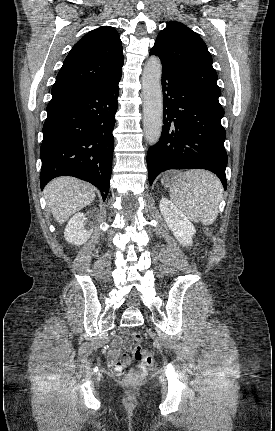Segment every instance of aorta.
Instances as JSON below:
<instances>
[{"mask_svg": "<svg viewBox=\"0 0 275 431\" xmlns=\"http://www.w3.org/2000/svg\"><path fill=\"white\" fill-rule=\"evenodd\" d=\"M161 74L160 59L157 56H151L145 64L142 75L144 133L151 145L158 142L163 125Z\"/></svg>", "mask_w": 275, "mask_h": 431, "instance_id": "aorta-1", "label": "aorta"}]
</instances>
